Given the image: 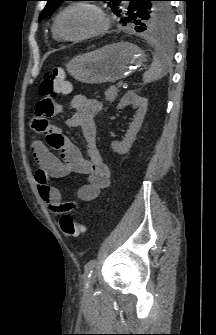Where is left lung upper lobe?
I'll list each match as a JSON object with an SVG mask.
<instances>
[{"mask_svg":"<svg viewBox=\"0 0 216 335\" xmlns=\"http://www.w3.org/2000/svg\"><path fill=\"white\" fill-rule=\"evenodd\" d=\"M39 22L53 13L64 1L46 0ZM108 1L113 13L119 16L123 26L132 25L137 32L171 36L174 19L169 0H101Z\"/></svg>","mask_w":216,"mask_h":335,"instance_id":"1","label":"left lung upper lobe"}]
</instances>
